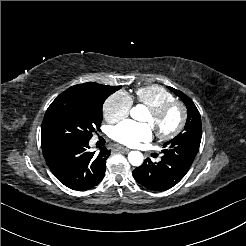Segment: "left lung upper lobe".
<instances>
[{
	"label": "left lung upper lobe",
	"instance_id": "1",
	"mask_svg": "<svg viewBox=\"0 0 246 246\" xmlns=\"http://www.w3.org/2000/svg\"><path fill=\"white\" fill-rule=\"evenodd\" d=\"M169 89L185 103L188 116L183 132L164 143V149L161 152L173 157L175 160L182 161L186 166L190 167L198 153L202 137L200 113L187 95L172 87H169Z\"/></svg>",
	"mask_w": 246,
	"mask_h": 246
}]
</instances>
